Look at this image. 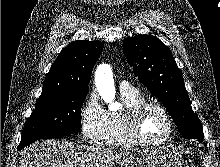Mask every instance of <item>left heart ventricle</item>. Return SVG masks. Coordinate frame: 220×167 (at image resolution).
Listing matches in <instances>:
<instances>
[{"label":"left heart ventricle","instance_id":"obj_1","mask_svg":"<svg viewBox=\"0 0 220 167\" xmlns=\"http://www.w3.org/2000/svg\"><path fill=\"white\" fill-rule=\"evenodd\" d=\"M168 131V121L161 111L150 107L143 113L140 120V133L145 139H161L167 135Z\"/></svg>","mask_w":220,"mask_h":167}]
</instances>
